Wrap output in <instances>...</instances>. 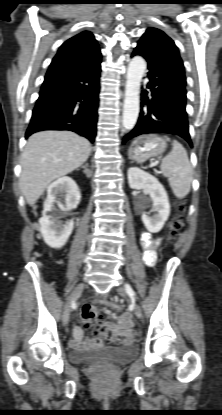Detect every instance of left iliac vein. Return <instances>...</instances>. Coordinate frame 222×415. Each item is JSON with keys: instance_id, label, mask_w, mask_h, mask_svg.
<instances>
[{"instance_id": "4c4485c4", "label": "left iliac vein", "mask_w": 222, "mask_h": 415, "mask_svg": "<svg viewBox=\"0 0 222 415\" xmlns=\"http://www.w3.org/2000/svg\"><path fill=\"white\" fill-rule=\"evenodd\" d=\"M117 292H118V294H120L123 297L127 296L126 289L124 287H118ZM134 313H135L136 317H138V318L142 317V309H141L140 305L134 304Z\"/></svg>"}]
</instances>
